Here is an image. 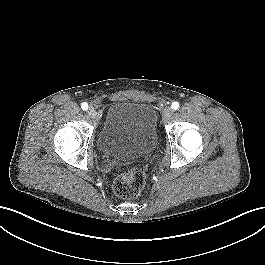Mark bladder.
<instances>
[{
	"label": "bladder",
	"instance_id": "bladder-1",
	"mask_svg": "<svg viewBox=\"0 0 265 265\" xmlns=\"http://www.w3.org/2000/svg\"><path fill=\"white\" fill-rule=\"evenodd\" d=\"M157 113L143 102L112 103L97 139L100 152L108 157L130 159L150 153L156 146Z\"/></svg>",
	"mask_w": 265,
	"mask_h": 265
}]
</instances>
